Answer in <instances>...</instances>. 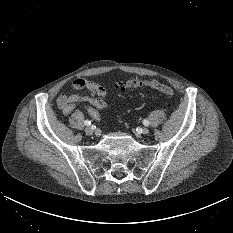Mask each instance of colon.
I'll return each instance as SVG.
<instances>
[{
    "mask_svg": "<svg viewBox=\"0 0 233 233\" xmlns=\"http://www.w3.org/2000/svg\"><path fill=\"white\" fill-rule=\"evenodd\" d=\"M140 87H148L154 90H157L165 95H169L171 96L173 94L172 89L157 81V80H147V81H143L140 80L138 78H131L129 80H127L126 82H121L117 84V89L120 91H125L128 89H135V88H140Z\"/></svg>",
    "mask_w": 233,
    "mask_h": 233,
    "instance_id": "colon-1",
    "label": "colon"
}]
</instances>
